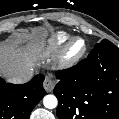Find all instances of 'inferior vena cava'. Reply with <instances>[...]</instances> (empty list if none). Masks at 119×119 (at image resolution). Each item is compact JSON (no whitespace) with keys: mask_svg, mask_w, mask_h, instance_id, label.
Here are the masks:
<instances>
[{"mask_svg":"<svg viewBox=\"0 0 119 119\" xmlns=\"http://www.w3.org/2000/svg\"><path fill=\"white\" fill-rule=\"evenodd\" d=\"M33 77V71L31 69L25 70L18 74L9 76L7 81L13 84H23L30 81Z\"/></svg>","mask_w":119,"mask_h":119,"instance_id":"inferior-vena-cava-1","label":"inferior vena cava"}]
</instances>
